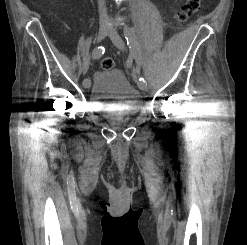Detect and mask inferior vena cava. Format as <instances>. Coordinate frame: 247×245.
<instances>
[{
	"instance_id": "1",
	"label": "inferior vena cava",
	"mask_w": 247,
	"mask_h": 245,
	"mask_svg": "<svg viewBox=\"0 0 247 245\" xmlns=\"http://www.w3.org/2000/svg\"><path fill=\"white\" fill-rule=\"evenodd\" d=\"M98 9H99V17H100V26L106 27L108 14L104 0H98Z\"/></svg>"
}]
</instances>
